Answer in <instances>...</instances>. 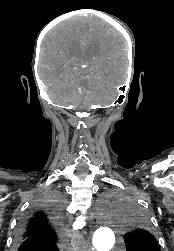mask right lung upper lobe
<instances>
[{
	"mask_svg": "<svg viewBox=\"0 0 174 251\" xmlns=\"http://www.w3.org/2000/svg\"><path fill=\"white\" fill-rule=\"evenodd\" d=\"M59 227L58 216L47 208H37L20 226L16 241L33 245L27 251H58Z\"/></svg>",
	"mask_w": 174,
	"mask_h": 251,
	"instance_id": "cb5924a9",
	"label": "right lung upper lobe"
}]
</instances>
